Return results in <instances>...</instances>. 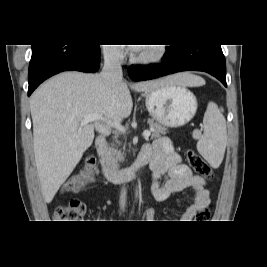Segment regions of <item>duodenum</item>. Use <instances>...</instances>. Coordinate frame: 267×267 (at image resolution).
<instances>
[{"label":"duodenum","mask_w":267,"mask_h":267,"mask_svg":"<svg viewBox=\"0 0 267 267\" xmlns=\"http://www.w3.org/2000/svg\"><path fill=\"white\" fill-rule=\"evenodd\" d=\"M106 138L100 135L96 138L95 146L98 162L103 177L111 182H123L132 179L137 170L148 164L149 158L145 156H139L136 161L129 167L123 169L113 168L107 159L106 154Z\"/></svg>","instance_id":"410a0bca"}]
</instances>
